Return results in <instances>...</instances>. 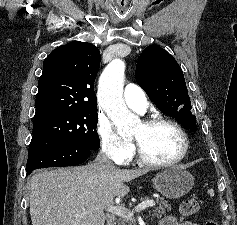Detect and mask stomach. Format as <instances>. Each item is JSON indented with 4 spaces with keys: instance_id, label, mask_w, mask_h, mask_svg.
Returning a JSON list of instances; mask_svg holds the SVG:
<instances>
[{
    "instance_id": "stomach-1",
    "label": "stomach",
    "mask_w": 237,
    "mask_h": 225,
    "mask_svg": "<svg viewBox=\"0 0 237 225\" xmlns=\"http://www.w3.org/2000/svg\"><path fill=\"white\" fill-rule=\"evenodd\" d=\"M154 188L169 199H177L187 194L194 184L193 176L179 167H170L157 174Z\"/></svg>"
}]
</instances>
